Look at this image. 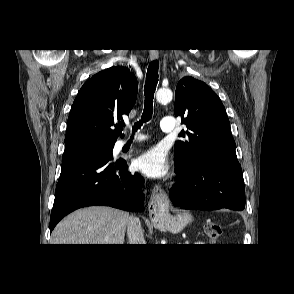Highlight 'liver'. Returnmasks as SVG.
Listing matches in <instances>:
<instances>
[{
	"mask_svg": "<svg viewBox=\"0 0 294 294\" xmlns=\"http://www.w3.org/2000/svg\"><path fill=\"white\" fill-rule=\"evenodd\" d=\"M129 213L111 207L79 209L53 230L51 244H123Z\"/></svg>",
	"mask_w": 294,
	"mask_h": 294,
	"instance_id": "1",
	"label": "liver"
}]
</instances>
